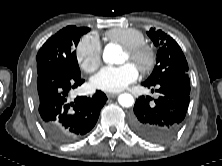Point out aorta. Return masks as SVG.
I'll return each instance as SVG.
<instances>
[{
    "label": "aorta",
    "instance_id": "obj_1",
    "mask_svg": "<svg viewBox=\"0 0 222 166\" xmlns=\"http://www.w3.org/2000/svg\"><path fill=\"white\" fill-rule=\"evenodd\" d=\"M103 61L109 64L122 63L121 48L113 44L107 45L103 52ZM118 102L123 107H131L134 104V98L129 93H123L119 95Z\"/></svg>",
    "mask_w": 222,
    "mask_h": 166
}]
</instances>
